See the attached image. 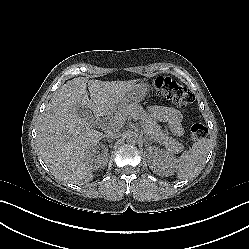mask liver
Returning a JSON list of instances; mask_svg holds the SVG:
<instances>
[{
  "instance_id": "liver-1",
  "label": "liver",
  "mask_w": 249,
  "mask_h": 249,
  "mask_svg": "<svg viewBox=\"0 0 249 249\" xmlns=\"http://www.w3.org/2000/svg\"><path fill=\"white\" fill-rule=\"evenodd\" d=\"M132 87V84L97 80L66 83L48 105L39 124L37 144L42 159L77 179H92L93 152L102 134L93 129L86 113L93 112L96 117L109 114L124 102Z\"/></svg>"
}]
</instances>
